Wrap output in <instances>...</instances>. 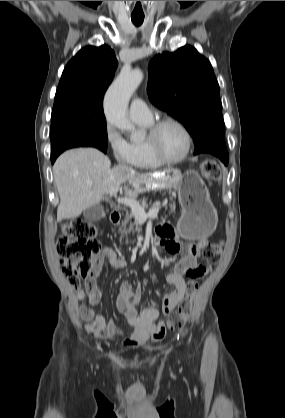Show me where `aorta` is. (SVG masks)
I'll use <instances>...</instances> for the list:
<instances>
[{
	"instance_id": "1",
	"label": "aorta",
	"mask_w": 285,
	"mask_h": 418,
	"mask_svg": "<svg viewBox=\"0 0 285 418\" xmlns=\"http://www.w3.org/2000/svg\"><path fill=\"white\" fill-rule=\"evenodd\" d=\"M142 80L141 70L123 68L104 98V110L108 124L119 130L129 131L131 139L137 138L138 133L127 117V107L131 95Z\"/></svg>"
}]
</instances>
